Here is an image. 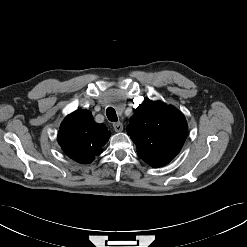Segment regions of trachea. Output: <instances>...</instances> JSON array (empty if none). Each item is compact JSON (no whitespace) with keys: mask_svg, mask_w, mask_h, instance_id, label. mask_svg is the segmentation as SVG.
I'll return each mask as SVG.
<instances>
[{"mask_svg":"<svg viewBox=\"0 0 247 247\" xmlns=\"http://www.w3.org/2000/svg\"><path fill=\"white\" fill-rule=\"evenodd\" d=\"M106 115L111 122H116L118 120L116 111L112 107H108L106 110Z\"/></svg>","mask_w":247,"mask_h":247,"instance_id":"obj_1","label":"trachea"}]
</instances>
